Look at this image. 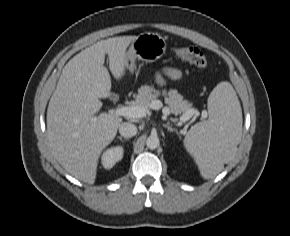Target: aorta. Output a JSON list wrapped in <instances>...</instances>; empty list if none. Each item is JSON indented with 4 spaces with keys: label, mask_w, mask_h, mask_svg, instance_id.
I'll use <instances>...</instances> for the list:
<instances>
[{
    "label": "aorta",
    "mask_w": 290,
    "mask_h": 236,
    "mask_svg": "<svg viewBox=\"0 0 290 236\" xmlns=\"http://www.w3.org/2000/svg\"><path fill=\"white\" fill-rule=\"evenodd\" d=\"M159 144L160 141L156 135H150L146 140V146L151 150L156 149Z\"/></svg>",
    "instance_id": "1"
}]
</instances>
